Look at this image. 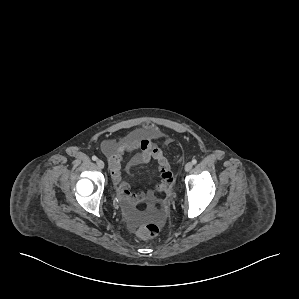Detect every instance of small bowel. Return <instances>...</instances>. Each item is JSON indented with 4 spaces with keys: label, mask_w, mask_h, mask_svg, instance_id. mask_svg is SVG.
<instances>
[{
    "label": "small bowel",
    "mask_w": 299,
    "mask_h": 299,
    "mask_svg": "<svg viewBox=\"0 0 299 299\" xmlns=\"http://www.w3.org/2000/svg\"><path fill=\"white\" fill-rule=\"evenodd\" d=\"M156 136L154 130L142 128L131 132L117 142H105L102 144V150L109 160L111 175L116 185L120 202L129 215L135 213L137 206L146 204L156 192H168L172 185L173 177L168 161L153 141ZM131 153L134 154L126 165L127 173H133L136 167L149 163L152 160L158 163L161 181L154 189L146 192H131L129 184L123 179L121 174L122 160Z\"/></svg>",
    "instance_id": "1"
}]
</instances>
